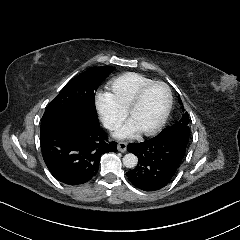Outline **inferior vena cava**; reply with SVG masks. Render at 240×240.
<instances>
[{"label": "inferior vena cava", "instance_id": "1", "mask_svg": "<svg viewBox=\"0 0 240 240\" xmlns=\"http://www.w3.org/2000/svg\"><path fill=\"white\" fill-rule=\"evenodd\" d=\"M103 125L105 128H107L109 130H114L117 127V123L112 122L110 120H104Z\"/></svg>", "mask_w": 240, "mask_h": 240}]
</instances>
